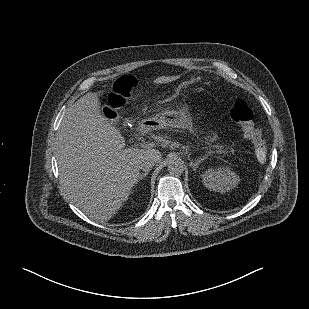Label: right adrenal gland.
I'll list each match as a JSON object with an SVG mask.
<instances>
[{
    "mask_svg": "<svg viewBox=\"0 0 309 309\" xmlns=\"http://www.w3.org/2000/svg\"><path fill=\"white\" fill-rule=\"evenodd\" d=\"M148 174H149V171L145 172L144 174H141V175L139 176L138 181H140V180H142L143 178H145Z\"/></svg>",
    "mask_w": 309,
    "mask_h": 309,
    "instance_id": "1",
    "label": "right adrenal gland"
}]
</instances>
